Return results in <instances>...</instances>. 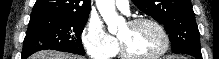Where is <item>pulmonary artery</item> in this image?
<instances>
[{
    "mask_svg": "<svg viewBox=\"0 0 219 59\" xmlns=\"http://www.w3.org/2000/svg\"><path fill=\"white\" fill-rule=\"evenodd\" d=\"M115 5L120 11H122L126 14L129 13V9H130L129 1L118 0V1H115Z\"/></svg>",
    "mask_w": 219,
    "mask_h": 59,
    "instance_id": "e3ab8cb5",
    "label": "pulmonary artery"
}]
</instances>
